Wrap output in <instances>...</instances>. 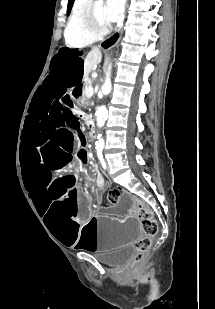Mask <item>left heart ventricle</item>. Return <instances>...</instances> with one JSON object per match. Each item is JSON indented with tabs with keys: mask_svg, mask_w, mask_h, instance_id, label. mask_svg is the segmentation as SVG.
<instances>
[{
	"mask_svg": "<svg viewBox=\"0 0 215 309\" xmlns=\"http://www.w3.org/2000/svg\"><path fill=\"white\" fill-rule=\"evenodd\" d=\"M95 16L96 17H101L102 16V11L101 10H96L95 11ZM95 24L96 25H101L102 24V19L101 18H96L95 19Z\"/></svg>",
	"mask_w": 215,
	"mask_h": 309,
	"instance_id": "1",
	"label": "left heart ventricle"
}]
</instances>
